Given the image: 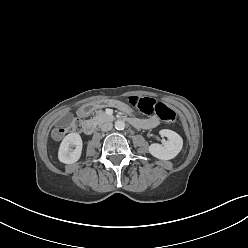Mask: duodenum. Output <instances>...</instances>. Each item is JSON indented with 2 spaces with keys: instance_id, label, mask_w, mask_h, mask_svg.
I'll list each match as a JSON object with an SVG mask.
<instances>
[{
  "instance_id": "410a0bca",
  "label": "duodenum",
  "mask_w": 248,
  "mask_h": 248,
  "mask_svg": "<svg viewBox=\"0 0 248 248\" xmlns=\"http://www.w3.org/2000/svg\"><path fill=\"white\" fill-rule=\"evenodd\" d=\"M95 108H96L95 104H90L87 107L83 108L81 110L82 116L89 115ZM128 121L133 125H139L140 124V122L136 119H128ZM95 128H96V124L93 121H87V122L83 123V126H82L83 132L86 134H92L95 131Z\"/></svg>"
}]
</instances>
